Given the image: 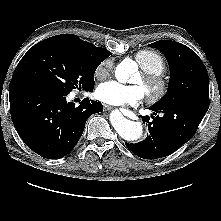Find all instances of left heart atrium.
Here are the masks:
<instances>
[{"label": "left heart atrium", "mask_w": 221, "mask_h": 221, "mask_svg": "<svg viewBox=\"0 0 221 221\" xmlns=\"http://www.w3.org/2000/svg\"><path fill=\"white\" fill-rule=\"evenodd\" d=\"M145 90L141 85H125L111 80L100 84L96 97L114 106L136 105L144 99Z\"/></svg>", "instance_id": "1"}]
</instances>
